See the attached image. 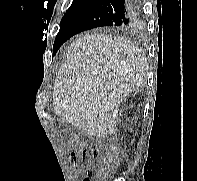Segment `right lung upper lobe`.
Wrapping results in <instances>:
<instances>
[{
	"label": "right lung upper lobe",
	"instance_id": "right-lung-upper-lobe-1",
	"mask_svg": "<svg viewBox=\"0 0 197 181\" xmlns=\"http://www.w3.org/2000/svg\"><path fill=\"white\" fill-rule=\"evenodd\" d=\"M97 1L98 0H73V3L68 10H74L78 8H88ZM129 29H132V28H128V27L118 28L119 31H128Z\"/></svg>",
	"mask_w": 197,
	"mask_h": 181
}]
</instances>
